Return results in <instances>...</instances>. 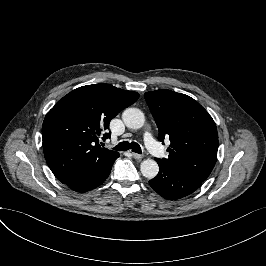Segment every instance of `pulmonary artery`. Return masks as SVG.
Segmentation results:
<instances>
[{
	"label": "pulmonary artery",
	"mask_w": 266,
	"mask_h": 266,
	"mask_svg": "<svg viewBox=\"0 0 266 266\" xmlns=\"http://www.w3.org/2000/svg\"><path fill=\"white\" fill-rule=\"evenodd\" d=\"M145 144L148 150H150L151 153L158 155L160 154L162 147L159 144H155L153 137L148 136L145 139Z\"/></svg>",
	"instance_id": "1"
}]
</instances>
